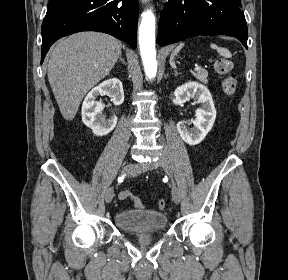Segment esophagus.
<instances>
[{"label":"esophagus","instance_id":"obj_1","mask_svg":"<svg viewBox=\"0 0 288 280\" xmlns=\"http://www.w3.org/2000/svg\"><path fill=\"white\" fill-rule=\"evenodd\" d=\"M143 4H147L150 2V0H140Z\"/></svg>","mask_w":288,"mask_h":280}]
</instances>
